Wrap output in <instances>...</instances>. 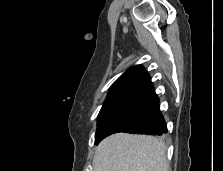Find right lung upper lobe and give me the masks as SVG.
I'll return each mask as SVG.
<instances>
[{
    "label": "right lung upper lobe",
    "mask_w": 223,
    "mask_h": 171,
    "mask_svg": "<svg viewBox=\"0 0 223 171\" xmlns=\"http://www.w3.org/2000/svg\"><path fill=\"white\" fill-rule=\"evenodd\" d=\"M153 89L151 79L142 66H134L121 75L110 87L108 98H139Z\"/></svg>",
    "instance_id": "right-lung-upper-lobe-1"
}]
</instances>
